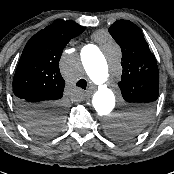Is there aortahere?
Returning a JSON list of instances; mask_svg holds the SVG:
<instances>
[{"label":"aorta","instance_id":"obj_1","mask_svg":"<svg viewBox=\"0 0 174 174\" xmlns=\"http://www.w3.org/2000/svg\"><path fill=\"white\" fill-rule=\"evenodd\" d=\"M81 57L87 75L96 86L92 99L93 106L101 124L110 132V128L120 124L122 115L112 114L115 97L107 85L109 77L107 61L117 63L121 58L120 48L106 36L105 56L96 47L88 45L82 49Z\"/></svg>","mask_w":174,"mask_h":174}]
</instances>
